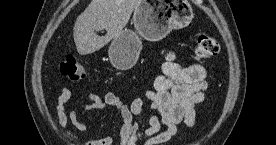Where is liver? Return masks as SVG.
Instances as JSON below:
<instances>
[{"label":"liver","mask_w":276,"mask_h":145,"mask_svg":"<svg viewBox=\"0 0 276 145\" xmlns=\"http://www.w3.org/2000/svg\"><path fill=\"white\" fill-rule=\"evenodd\" d=\"M139 1L92 0L74 24L73 37L78 53H94L119 35ZM103 29L106 35H97L96 31Z\"/></svg>","instance_id":"1"}]
</instances>
